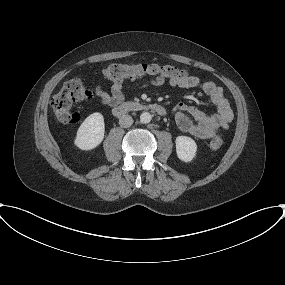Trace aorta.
Returning a JSON list of instances; mask_svg holds the SVG:
<instances>
[{
	"instance_id": "1",
	"label": "aorta",
	"mask_w": 285,
	"mask_h": 285,
	"mask_svg": "<svg viewBox=\"0 0 285 285\" xmlns=\"http://www.w3.org/2000/svg\"><path fill=\"white\" fill-rule=\"evenodd\" d=\"M151 119H152V116H151V114L148 113V112H143V113L140 115V121H141V123H143V124L149 123V122L151 121Z\"/></svg>"
}]
</instances>
